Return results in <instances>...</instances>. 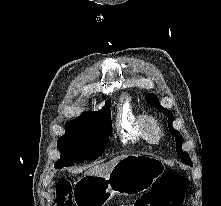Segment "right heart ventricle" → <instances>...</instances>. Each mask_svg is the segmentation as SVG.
I'll return each mask as SVG.
<instances>
[{"label": "right heart ventricle", "mask_w": 221, "mask_h": 206, "mask_svg": "<svg viewBox=\"0 0 221 206\" xmlns=\"http://www.w3.org/2000/svg\"><path fill=\"white\" fill-rule=\"evenodd\" d=\"M142 114L138 113L128 99H123L118 107L116 117V129L123 143L147 142L140 130V118Z\"/></svg>", "instance_id": "1"}]
</instances>
